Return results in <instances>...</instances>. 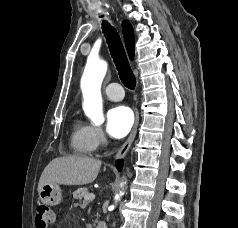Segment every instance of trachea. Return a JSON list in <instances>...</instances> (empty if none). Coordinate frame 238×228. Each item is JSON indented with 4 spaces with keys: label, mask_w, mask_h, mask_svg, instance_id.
Listing matches in <instances>:
<instances>
[{
    "label": "trachea",
    "mask_w": 238,
    "mask_h": 228,
    "mask_svg": "<svg viewBox=\"0 0 238 228\" xmlns=\"http://www.w3.org/2000/svg\"><path fill=\"white\" fill-rule=\"evenodd\" d=\"M102 29L122 83L128 89L133 90L136 86V79L128 62L119 34L106 21L102 23Z\"/></svg>",
    "instance_id": "obj_1"
}]
</instances>
